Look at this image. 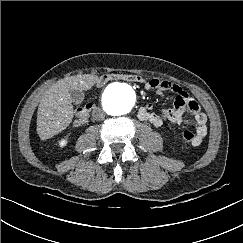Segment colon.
Listing matches in <instances>:
<instances>
[{
	"label": "colon",
	"mask_w": 243,
	"mask_h": 243,
	"mask_svg": "<svg viewBox=\"0 0 243 243\" xmlns=\"http://www.w3.org/2000/svg\"><path fill=\"white\" fill-rule=\"evenodd\" d=\"M113 80H125L130 82H143V78L136 74H121V73H112L106 74L99 78L98 85L103 86ZM92 110V104L88 103L79 109H77L75 113V123L77 124H84L87 122L90 112ZM183 139L187 142L192 143L195 139V134L191 131H184L183 132Z\"/></svg>",
	"instance_id": "5ec220e1"
}]
</instances>
